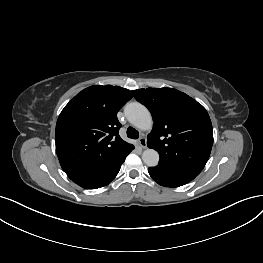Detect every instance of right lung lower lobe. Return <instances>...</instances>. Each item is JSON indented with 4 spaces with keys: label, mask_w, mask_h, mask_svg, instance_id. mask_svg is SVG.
<instances>
[{
    "label": "right lung lower lobe",
    "mask_w": 263,
    "mask_h": 263,
    "mask_svg": "<svg viewBox=\"0 0 263 263\" xmlns=\"http://www.w3.org/2000/svg\"><path fill=\"white\" fill-rule=\"evenodd\" d=\"M133 149L134 147L131 150ZM131 150L124 156L110 164L108 167L98 172L80 176L71 180L85 189H97L106 186L116 177L122 163L125 161V158L131 152Z\"/></svg>",
    "instance_id": "1"
}]
</instances>
